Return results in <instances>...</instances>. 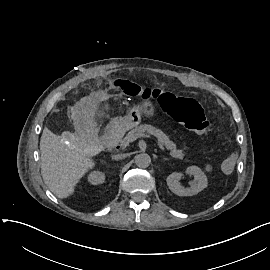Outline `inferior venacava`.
<instances>
[{"label":"inferior vena cava","instance_id":"602c4592","mask_svg":"<svg viewBox=\"0 0 270 270\" xmlns=\"http://www.w3.org/2000/svg\"><path fill=\"white\" fill-rule=\"evenodd\" d=\"M127 157V154H119V155H113L112 159L113 160H120V159H124Z\"/></svg>","mask_w":270,"mask_h":270}]
</instances>
